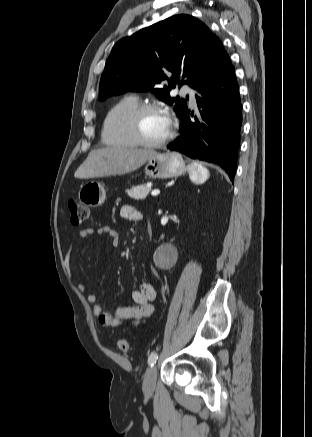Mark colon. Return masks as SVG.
<instances>
[{"label": "colon", "mask_w": 312, "mask_h": 437, "mask_svg": "<svg viewBox=\"0 0 312 437\" xmlns=\"http://www.w3.org/2000/svg\"><path fill=\"white\" fill-rule=\"evenodd\" d=\"M70 212V221L73 225H80L88 215V208L75 200H70L68 203ZM118 348L123 353L131 351L132 346L126 339H120L118 341Z\"/></svg>", "instance_id": "colon-1"}]
</instances>
